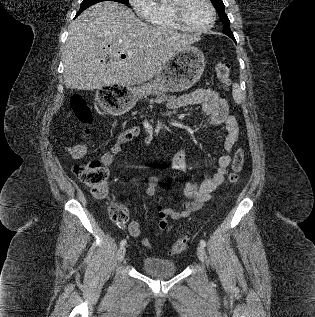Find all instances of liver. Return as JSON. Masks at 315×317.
Instances as JSON below:
<instances>
[{
  "label": "liver",
  "instance_id": "6515ba94",
  "mask_svg": "<svg viewBox=\"0 0 315 317\" xmlns=\"http://www.w3.org/2000/svg\"><path fill=\"white\" fill-rule=\"evenodd\" d=\"M199 39L149 26L117 2L98 3L69 27L63 53L65 86L93 90L151 80L175 53Z\"/></svg>",
  "mask_w": 315,
  "mask_h": 317
}]
</instances>
